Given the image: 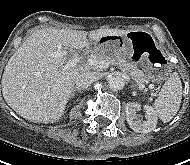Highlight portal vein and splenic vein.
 I'll return each mask as SVG.
<instances>
[{
	"mask_svg": "<svg viewBox=\"0 0 190 165\" xmlns=\"http://www.w3.org/2000/svg\"><path fill=\"white\" fill-rule=\"evenodd\" d=\"M67 55V51L62 50V51H57L52 53V56L54 57H65ZM82 58L79 56H73L71 59L66 63L64 66V69L72 68L76 66ZM88 64L91 65L92 67H96L99 69H106L109 67L110 63L106 61H98L93 58H88ZM140 88H144V85H140Z\"/></svg>",
	"mask_w": 190,
	"mask_h": 165,
	"instance_id": "18ae733b",
	"label": "portal vein and splenic vein"
}]
</instances>
